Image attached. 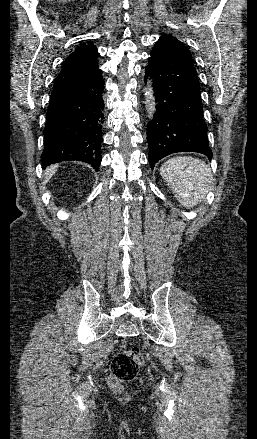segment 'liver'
Listing matches in <instances>:
<instances>
[{
    "mask_svg": "<svg viewBox=\"0 0 257 439\" xmlns=\"http://www.w3.org/2000/svg\"><path fill=\"white\" fill-rule=\"evenodd\" d=\"M55 171H56V167H50L47 169L46 174H45V182L50 180V178L53 176Z\"/></svg>",
    "mask_w": 257,
    "mask_h": 439,
    "instance_id": "1",
    "label": "liver"
}]
</instances>
